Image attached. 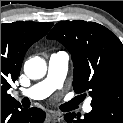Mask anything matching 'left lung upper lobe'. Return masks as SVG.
Listing matches in <instances>:
<instances>
[{
    "instance_id": "1",
    "label": "left lung upper lobe",
    "mask_w": 123,
    "mask_h": 123,
    "mask_svg": "<svg viewBox=\"0 0 123 123\" xmlns=\"http://www.w3.org/2000/svg\"><path fill=\"white\" fill-rule=\"evenodd\" d=\"M47 38L71 53L76 93L88 92L92 107L109 102L123 107V44L110 30L95 22L62 21Z\"/></svg>"
}]
</instances>
